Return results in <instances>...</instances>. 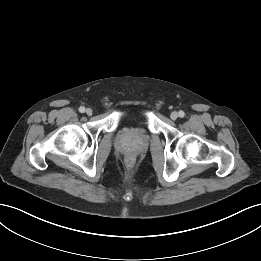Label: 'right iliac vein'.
<instances>
[{
	"label": "right iliac vein",
	"mask_w": 261,
	"mask_h": 261,
	"mask_svg": "<svg viewBox=\"0 0 261 261\" xmlns=\"http://www.w3.org/2000/svg\"><path fill=\"white\" fill-rule=\"evenodd\" d=\"M92 113H93V111H92L91 108H87V109H86V114H87V115L90 116V115H92Z\"/></svg>",
	"instance_id": "1"
}]
</instances>
